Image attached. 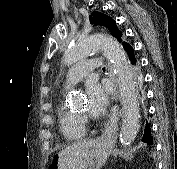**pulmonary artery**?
<instances>
[{"label":"pulmonary artery","mask_w":177,"mask_h":169,"mask_svg":"<svg viewBox=\"0 0 177 169\" xmlns=\"http://www.w3.org/2000/svg\"><path fill=\"white\" fill-rule=\"evenodd\" d=\"M102 60L98 57L85 58L78 62L66 74V82L75 85L82 81L91 71H99L102 67Z\"/></svg>","instance_id":"e3ab8cb5"}]
</instances>
